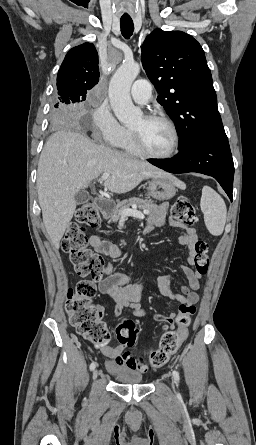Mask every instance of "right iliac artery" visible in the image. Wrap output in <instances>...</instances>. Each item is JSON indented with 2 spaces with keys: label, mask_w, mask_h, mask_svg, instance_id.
<instances>
[{
  "label": "right iliac artery",
  "mask_w": 256,
  "mask_h": 445,
  "mask_svg": "<svg viewBox=\"0 0 256 445\" xmlns=\"http://www.w3.org/2000/svg\"><path fill=\"white\" fill-rule=\"evenodd\" d=\"M95 367H96V364H95L94 362H92V363L90 364V370H94Z\"/></svg>",
  "instance_id": "obj_1"
}]
</instances>
